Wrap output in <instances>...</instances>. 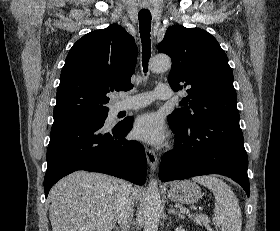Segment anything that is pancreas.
I'll return each instance as SVG.
<instances>
[{"mask_svg": "<svg viewBox=\"0 0 280 231\" xmlns=\"http://www.w3.org/2000/svg\"><path fill=\"white\" fill-rule=\"evenodd\" d=\"M193 221L195 223H199V225H204L208 231H213V227L210 225L211 219H209L208 215H203V213H197V215H191Z\"/></svg>", "mask_w": 280, "mask_h": 231, "instance_id": "cf45deb5", "label": "pancreas"}]
</instances>
